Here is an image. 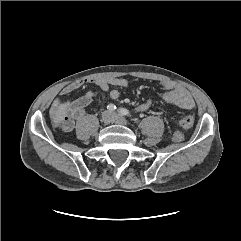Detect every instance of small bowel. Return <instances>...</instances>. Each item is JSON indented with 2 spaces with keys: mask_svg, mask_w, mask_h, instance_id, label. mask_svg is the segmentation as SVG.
I'll list each match as a JSON object with an SVG mask.
<instances>
[{
  "mask_svg": "<svg viewBox=\"0 0 241 241\" xmlns=\"http://www.w3.org/2000/svg\"><path fill=\"white\" fill-rule=\"evenodd\" d=\"M86 83H94L103 91L108 92L111 99L116 100L120 96L118 88H122L128 85V81L124 78H98L94 80H78L66 85L61 90V95L66 96L82 87ZM163 89V100L171 105H174L180 109L191 110L195 107V102L191 94L181 85L176 84L169 80H162L159 82ZM113 87V88H111ZM97 93L87 92L83 97L71 102L59 104L60 107L69 111L72 118L79 120L85 114V109L90 106L96 99ZM73 128V121L69 127H65L64 131H70Z\"/></svg>",
  "mask_w": 241,
  "mask_h": 241,
  "instance_id": "c3829d8e",
  "label": "small bowel"
}]
</instances>
